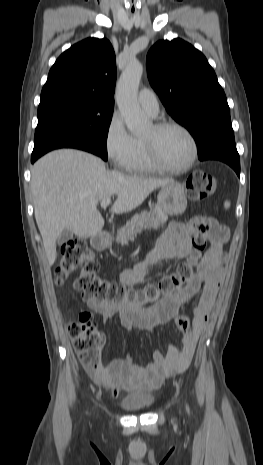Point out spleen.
I'll return each mask as SVG.
<instances>
[{
    "instance_id": "spleen-1",
    "label": "spleen",
    "mask_w": 263,
    "mask_h": 465,
    "mask_svg": "<svg viewBox=\"0 0 263 465\" xmlns=\"http://www.w3.org/2000/svg\"><path fill=\"white\" fill-rule=\"evenodd\" d=\"M229 206H230V202L226 201V202L224 203V207L227 209V208H229Z\"/></svg>"
}]
</instances>
